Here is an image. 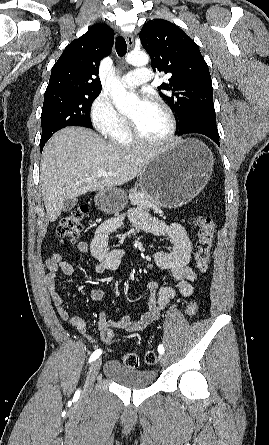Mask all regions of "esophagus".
<instances>
[{"instance_id":"obj_1","label":"esophagus","mask_w":269,"mask_h":445,"mask_svg":"<svg viewBox=\"0 0 269 445\" xmlns=\"http://www.w3.org/2000/svg\"><path fill=\"white\" fill-rule=\"evenodd\" d=\"M124 37H125V39H126L127 45H128L129 47H133V45H134V39H133V36H132L131 34H129V33H125V34H124Z\"/></svg>"}]
</instances>
